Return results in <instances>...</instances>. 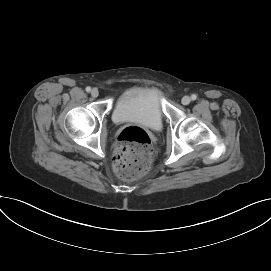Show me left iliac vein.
Here are the masks:
<instances>
[{
	"instance_id": "obj_1",
	"label": "left iliac vein",
	"mask_w": 271,
	"mask_h": 271,
	"mask_svg": "<svg viewBox=\"0 0 271 271\" xmlns=\"http://www.w3.org/2000/svg\"><path fill=\"white\" fill-rule=\"evenodd\" d=\"M181 101L183 105H188L191 102V98L189 96H184Z\"/></svg>"
}]
</instances>
